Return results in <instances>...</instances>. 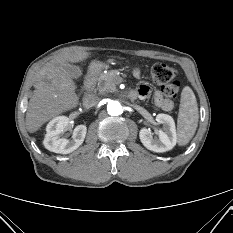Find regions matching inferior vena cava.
Returning <instances> with one entry per match:
<instances>
[{
  "label": "inferior vena cava",
  "mask_w": 233,
  "mask_h": 233,
  "mask_svg": "<svg viewBox=\"0 0 233 233\" xmlns=\"http://www.w3.org/2000/svg\"><path fill=\"white\" fill-rule=\"evenodd\" d=\"M99 101V97L95 94H87L83 99L84 105L88 108L96 106Z\"/></svg>",
  "instance_id": "1"
}]
</instances>
